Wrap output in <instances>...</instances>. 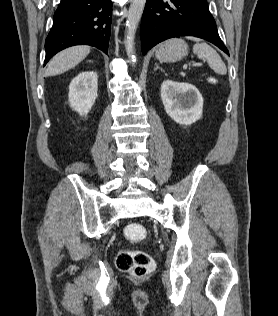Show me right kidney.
<instances>
[{
  "instance_id": "1",
  "label": "right kidney",
  "mask_w": 278,
  "mask_h": 316,
  "mask_svg": "<svg viewBox=\"0 0 278 316\" xmlns=\"http://www.w3.org/2000/svg\"><path fill=\"white\" fill-rule=\"evenodd\" d=\"M98 76L94 71L79 73L69 85V103L80 115H87L97 97Z\"/></svg>"
}]
</instances>
